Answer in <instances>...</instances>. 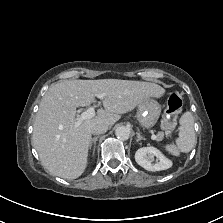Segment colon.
I'll return each instance as SVG.
<instances>
[{"instance_id":"5ec220e1","label":"colon","mask_w":223,"mask_h":223,"mask_svg":"<svg viewBox=\"0 0 223 223\" xmlns=\"http://www.w3.org/2000/svg\"><path fill=\"white\" fill-rule=\"evenodd\" d=\"M182 105L183 102L179 94L170 95L161 121L164 130L171 131L176 126L178 115L182 110Z\"/></svg>"}]
</instances>
